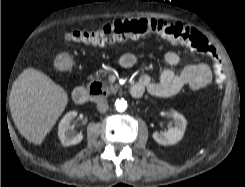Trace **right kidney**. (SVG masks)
<instances>
[{
	"mask_svg": "<svg viewBox=\"0 0 245 187\" xmlns=\"http://www.w3.org/2000/svg\"><path fill=\"white\" fill-rule=\"evenodd\" d=\"M76 111L68 112L60 121L58 126V136L64 146L76 145L83 139L82 134H76L71 127L72 120L77 116Z\"/></svg>",
	"mask_w": 245,
	"mask_h": 187,
	"instance_id": "ca27d5eb",
	"label": "right kidney"
}]
</instances>
